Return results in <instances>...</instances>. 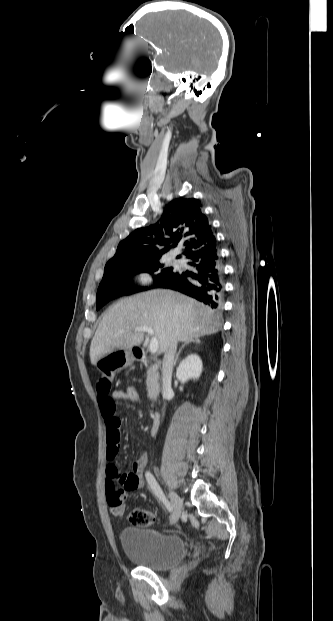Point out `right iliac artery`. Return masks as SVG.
I'll return each instance as SVG.
<instances>
[{"mask_svg": "<svg viewBox=\"0 0 333 621\" xmlns=\"http://www.w3.org/2000/svg\"><path fill=\"white\" fill-rule=\"evenodd\" d=\"M145 477L146 480L151 488V490L153 491V493L158 497V499L164 504V506L166 507V509L169 512H172L173 510V506L172 504L166 499L164 493L162 492L159 484L157 483L156 479L154 478V476L147 471L145 473Z\"/></svg>", "mask_w": 333, "mask_h": 621, "instance_id": "82829eb1", "label": "right iliac artery"}]
</instances>
